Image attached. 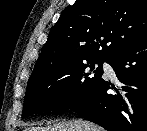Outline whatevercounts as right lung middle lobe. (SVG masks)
Here are the masks:
<instances>
[{
    "label": "right lung middle lobe",
    "instance_id": "right-lung-middle-lobe-1",
    "mask_svg": "<svg viewBox=\"0 0 147 131\" xmlns=\"http://www.w3.org/2000/svg\"><path fill=\"white\" fill-rule=\"evenodd\" d=\"M108 61L88 59L30 77L22 115L57 112L75 105L102 79V63ZM95 64L99 65L96 69Z\"/></svg>",
    "mask_w": 147,
    "mask_h": 131
}]
</instances>
